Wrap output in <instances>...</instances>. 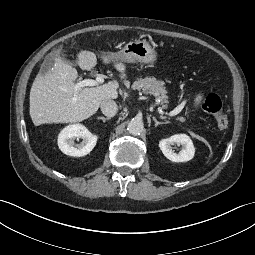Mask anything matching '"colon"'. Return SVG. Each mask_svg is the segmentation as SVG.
I'll return each mask as SVG.
<instances>
[{"label":"colon","instance_id":"1","mask_svg":"<svg viewBox=\"0 0 255 255\" xmlns=\"http://www.w3.org/2000/svg\"><path fill=\"white\" fill-rule=\"evenodd\" d=\"M202 107L212 114L219 130H225L228 127V117L222 107L219 96L214 92H207L202 98Z\"/></svg>","mask_w":255,"mask_h":255}]
</instances>
